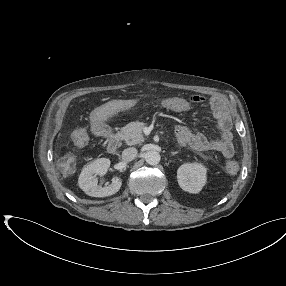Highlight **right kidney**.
Returning <instances> with one entry per match:
<instances>
[{
  "instance_id": "obj_1",
  "label": "right kidney",
  "mask_w": 286,
  "mask_h": 286,
  "mask_svg": "<svg viewBox=\"0 0 286 286\" xmlns=\"http://www.w3.org/2000/svg\"><path fill=\"white\" fill-rule=\"evenodd\" d=\"M110 167V160L107 158L96 159L85 166L79 175V187L89 196L107 197L117 193L122 185L119 177H113L109 186L101 187L98 185L97 175L103 176Z\"/></svg>"
}]
</instances>
